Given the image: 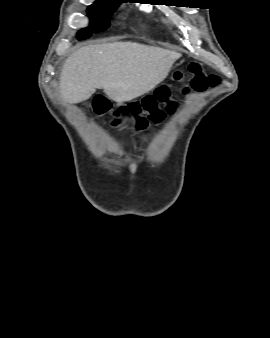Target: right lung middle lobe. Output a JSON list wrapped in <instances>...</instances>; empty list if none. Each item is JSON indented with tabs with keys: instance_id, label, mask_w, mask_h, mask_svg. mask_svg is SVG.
<instances>
[{
	"instance_id": "dd1d6c3e",
	"label": "right lung middle lobe",
	"mask_w": 270,
	"mask_h": 338,
	"mask_svg": "<svg viewBox=\"0 0 270 338\" xmlns=\"http://www.w3.org/2000/svg\"><path fill=\"white\" fill-rule=\"evenodd\" d=\"M123 0H97L88 7L87 13L91 19L90 29L78 32L80 39L88 38L91 32L101 31L109 26L110 15Z\"/></svg>"
}]
</instances>
